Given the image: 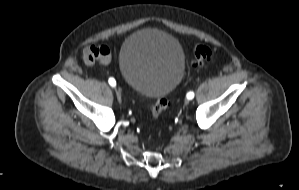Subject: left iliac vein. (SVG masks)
<instances>
[{"instance_id":"1","label":"left iliac vein","mask_w":299,"mask_h":190,"mask_svg":"<svg viewBox=\"0 0 299 190\" xmlns=\"http://www.w3.org/2000/svg\"><path fill=\"white\" fill-rule=\"evenodd\" d=\"M189 103V99L185 100V104H188Z\"/></svg>"}]
</instances>
